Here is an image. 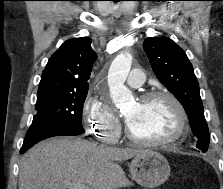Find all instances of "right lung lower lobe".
Masks as SVG:
<instances>
[{"label":"right lung lower lobe","mask_w":223,"mask_h":189,"mask_svg":"<svg viewBox=\"0 0 223 189\" xmlns=\"http://www.w3.org/2000/svg\"><path fill=\"white\" fill-rule=\"evenodd\" d=\"M81 134L83 133L77 132L64 124L44 121H33L25 135V139L21 147L20 153L23 154L33 145L46 138L63 135L76 136Z\"/></svg>","instance_id":"right-lung-lower-lobe-1"}]
</instances>
